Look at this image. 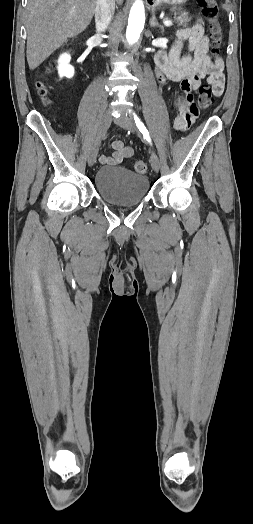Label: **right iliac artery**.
I'll return each mask as SVG.
<instances>
[{
	"instance_id": "obj_1",
	"label": "right iliac artery",
	"mask_w": 253,
	"mask_h": 524,
	"mask_svg": "<svg viewBox=\"0 0 253 524\" xmlns=\"http://www.w3.org/2000/svg\"><path fill=\"white\" fill-rule=\"evenodd\" d=\"M106 136H107V135H105V134L103 135L104 138H105Z\"/></svg>"
}]
</instances>
